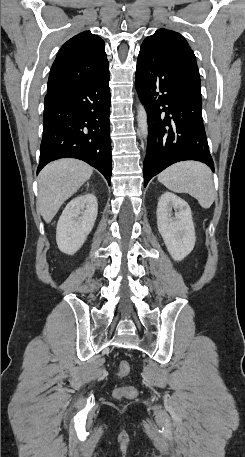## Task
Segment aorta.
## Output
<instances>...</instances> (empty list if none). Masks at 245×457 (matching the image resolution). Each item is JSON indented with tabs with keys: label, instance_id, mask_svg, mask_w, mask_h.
Here are the masks:
<instances>
[{
	"label": "aorta",
	"instance_id": "762f6f07",
	"mask_svg": "<svg viewBox=\"0 0 245 457\" xmlns=\"http://www.w3.org/2000/svg\"><path fill=\"white\" fill-rule=\"evenodd\" d=\"M137 121H138V128H139V135L143 139H147L148 137V116L145 110V107L141 102H139L137 107Z\"/></svg>",
	"mask_w": 245,
	"mask_h": 457
}]
</instances>
